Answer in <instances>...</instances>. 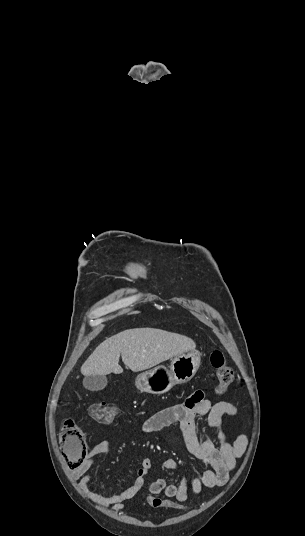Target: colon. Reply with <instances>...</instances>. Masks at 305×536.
Segmentation results:
<instances>
[{
  "instance_id": "obj_1",
  "label": "colon",
  "mask_w": 305,
  "mask_h": 536,
  "mask_svg": "<svg viewBox=\"0 0 305 536\" xmlns=\"http://www.w3.org/2000/svg\"><path fill=\"white\" fill-rule=\"evenodd\" d=\"M210 363L215 370L217 389L224 392L233 381V372L226 354L219 348L213 349L210 353ZM88 412L93 420L102 423L111 422L115 417L114 409L103 401L91 403ZM60 441L63 443L62 460L65 471H80L81 462L85 460L86 441L83 439L82 429L74 419L66 418L62 421ZM147 503L153 510H161L165 507L179 509L181 507L179 500H174L171 496L163 500L156 494L149 495ZM182 509H185V506H182Z\"/></svg>"
}]
</instances>
